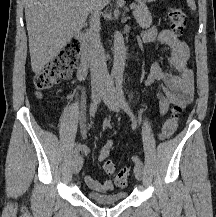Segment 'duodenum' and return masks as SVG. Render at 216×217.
<instances>
[{
	"mask_svg": "<svg viewBox=\"0 0 216 217\" xmlns=\"http://www.w3.org/2000/svg\"><path fill=\"white\" fill-rule=\"evenodd\" d=\"M77 41L81 45V54H80V68L79 71L86 72L91 63V49L87 43L85 33L79 31L75 35ZM142 40L141 37L138 38V41Z\"/></svg>",
	"mask_w": 216,
	"mask_h": 217,
	"instance_id": "duodenum-1",
	"label": "duodenum"
}]
</instances>
